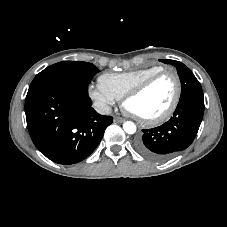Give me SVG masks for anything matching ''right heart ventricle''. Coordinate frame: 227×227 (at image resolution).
Segmentation results:
<instances>
[{
    "label": "right heart ventricle",
    "instance_id": "obj_1",
    "mask_svg": "<svg viewBox=\"0 0 227 227\" xmlns=\"http://www.w3.org/2000/svg\"><path fill=\"white\" fill-rule=\"evenodd\" d=\"M162 69L161 66H150L123 73H105L100 76L99 84L120 99L128 90Z\"/></svg>",
    "mask_w": 227,
    "mask_h": 227
}]
</instances>
